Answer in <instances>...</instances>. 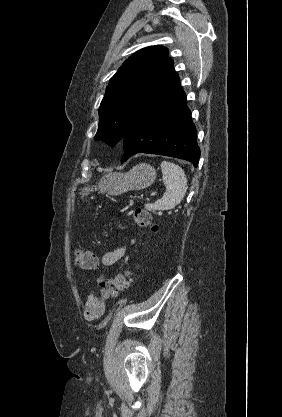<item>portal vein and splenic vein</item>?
Segmentation results:
<instances>
[{"mask_svg": "<svg viewBox=\"0 0 282 417\" xmlns=\"http://www.w3.org/2000/svg\"><path fill=\"white\" fill-rule=\"evenodd\" d=\"M157 196H160V193L152 192L151 194H146L144 200L149 201L151 198H155Z\"/></svg>", "mask_w": 282, "mask_h": 417, "instance_id": "1", "label": "portal vein and splenic vein"}]
</instances>
